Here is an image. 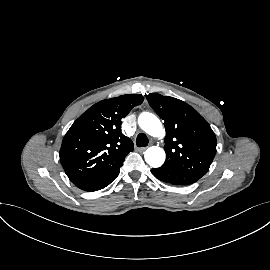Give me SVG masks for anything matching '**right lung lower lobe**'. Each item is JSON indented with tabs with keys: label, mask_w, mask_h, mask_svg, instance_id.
I'll return each instance as SVG.
<instances>
[{
	"label": "right lung lower lobe",
	"mask_w": 270,
	"mask_h": 270,
	"mask_svg": "<svg viewBox=\"0 0 270 270\" xmlns=\"http://www.w3.org/2000/svg\"><path fill=\"white\" fill-rule=\"evenodd\" d=\"M120 169L113 173L102 175L93 179L85 180L75 184L78 188L85 191H96L109 185L119 174Z\"/></svg>",
	"instance_id": "obj_1"
}]
</instances>
